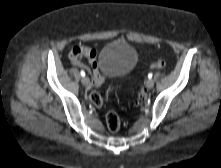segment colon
I'll use <instances>...</instances> for the list:
<instances>
[{
  "mask_svg": "<svg viewBox=\"0 0 221 168\" xmlns=\"http://www.w3.org/2000/svg\"><path fill=\"white\" fill-rule=\"evenodd\" d=\"M166 65L165 61L157 60L151 63L150 67L154 69L164 68ZM147 95L143 87L140 89L138 96V103H142L146 100ZM91 104L95 107H101L103 104V98L98 92H92L89 96ZM106 125L108 129L112 132L117 131L121 126V121L118 114L114 111H108L106 114Z\"/></svg>",
  "mask_w": 221,
  "mask_h": 168,
  "instance_id": "5ec220e1",
  "label": "colon"
}]
</instances>
